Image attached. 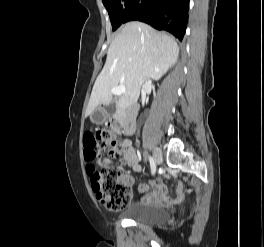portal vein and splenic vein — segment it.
<instances>
[{
  "label": "portal vein and splenic vein",
  "instance_id": "1",
  "mask_svg": "<svg viewBox=\"0 0 264 247\" xmlns=\"http://www.w3.org/2000/svg\"><path fill=\"white\" fill-rule=\"evenodd\" d=\"M125 90H126V89H125V86H124L123 84H120V85L117 86V87H113V88L111 89V92H112V94H114V95L121 96V95L124 94Z\"/></svg>",
  "mask_w": 264,
  "mask_h": 247
}]
</instances>
